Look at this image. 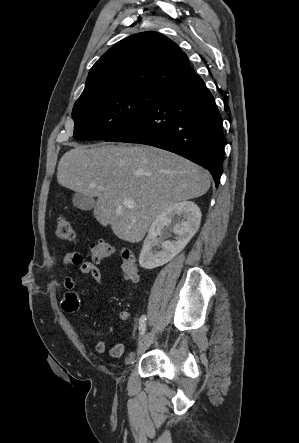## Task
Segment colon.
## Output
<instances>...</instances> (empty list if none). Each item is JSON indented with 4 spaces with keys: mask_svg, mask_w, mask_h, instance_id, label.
Here are the masks:
<instances>
[{
    "mask_svg": "<svg viewBox=\"0 0 299 443\" xmlns=\"http://www.w3.org/2000/svg\"><path fill=\"white\" fill-rule=\"evenodd\" d=\"M56 235L63 241L75 243L76 233L65 217H59L56 223ZM116 252V248L109 242L99 240L91 244L90 254L95 263H100ZM121 272L124 278L135 280L138 276V268L133 252L128 248L120 250Z\"/></svg>",
    "mask_w": 299,
    "mask_h": 443,
    "instance_id": "5ec220e1",
    "label": "colon"
}]
</instances>
